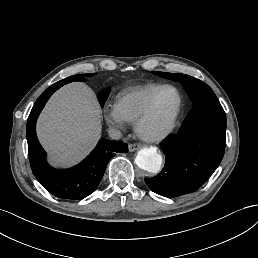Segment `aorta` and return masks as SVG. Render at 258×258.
Segmentation results:
<instances>
[{
	"label": "aorta",
	"mask_w": 258,
	"mask_h": 258,
	"mask_svg": "<svg viewBox=\"0 0 258 258\" xmlns=\"http://www.w3.org/2000/svg\"><path fill=\"white\" fill-rule=\"evenodd\" d=\"M136 164L149 173H157L162 166V156L155 147L142 148L135 159Z\"/></svg>",
	"instance_id": "1"
}]
</instances>
